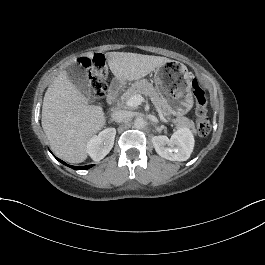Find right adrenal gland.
Masks as SVG:
<instances>
[{"label": "right adrenal gland", "mask_w": 265, "mask_h": 265, "mask_svg": "<svg viewBox=\"0 0 265 265\" xmlns=\"http://www.w3.org/2000/svg\"><path fill=\"white\" fill-rule=\"evenodd\" d=\"M111 122H113V120H112V119L109 121V123H111Z\"/></svg>", "instance_id": "2a0ac1e0"}]
</instances>
